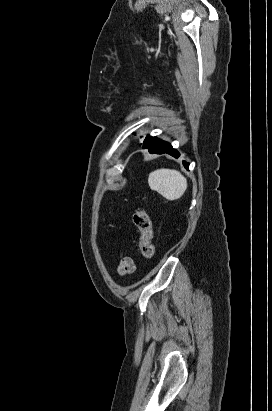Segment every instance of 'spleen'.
<instances>
[{
    "instance_id": "3e777b00",
    "label": "spleen",
    "mask_w": 272,
    "mask_h": 411,
    "mask_svg": "<svg viewBox=\"0 0 272 411\" xmlns=\"http://www.w3.org/2000/svg\"><path fill=\"white\" fill-rule=\"evenodd\" d=\"M150 188L170 201L182 197L187 189V179L177 170L158 169L149 174Z\"/></svg>"
}]
</instances>
